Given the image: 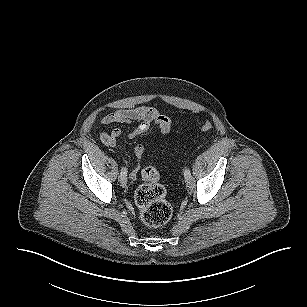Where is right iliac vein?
<instances>
[{"mask_svg":"<svg viewBox=\"0 0 307 307\" xmlns=\"http://www.w3.org/2000/svg\"><path fill=\"white\" fill-rule=\"evenodd\" d=\"M119 181L122 185H126L127 183V175L126 174H120L119 175Z\"/></svg>","mask_w":307,"mask_h":307,"instance_id":"right-iliac-vein-1","label":"right iliac vein"}]
</instances>
